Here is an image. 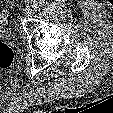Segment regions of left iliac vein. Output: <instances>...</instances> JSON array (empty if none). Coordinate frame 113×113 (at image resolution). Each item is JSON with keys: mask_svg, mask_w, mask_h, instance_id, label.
I'll list each match as a JSON object with an SVG mask.
<instances>
[{"mask_svg": "<svg viewBox=\"0 0 113 113\" xmlns=\"http://www.w3.org/2000/svg\"><path fill=\"white\" fill-rule=\"evenodd\" d=\"M34 11H35V9H34L33 6L27 7V8H26V11H25V14H26L27 16H32V15L34 14Z\"/></svg>", "mask_w": 113, "mask_h": 113, "instance_id": "4c4485c4", "label": "left iliac vein"}]
</instances>
